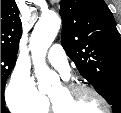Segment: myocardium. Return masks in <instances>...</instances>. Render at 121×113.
Instances as JSON below:
<instances>
[{
    "label": "myocardium",
    "mask_w": 121,
    "mask_h": 113,
    "mask_svg": "<svg viewBox=\"0 0 121 113\" xmlns=\"http://www.w3.org/2000/svg\"><path fill=\"white\" fill-rule=\"evenodd\" d=\"M62 87L69 93H80V94L91 93L93 94L104 105L105 107L104 113H110L111 107H110L108 100L94 88L81 84V83H77V82H66L62 84ZM48 98H49V104H50L52 112L62 113L59 111V108L57 104L55 103V101L50 96Z\"/></svg>",
    "instance_id": "f54148a6"
}]
</instances>
